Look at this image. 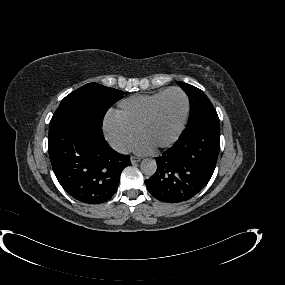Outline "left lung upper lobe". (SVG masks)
<instances>
[{
	"label": "left lung upper lobe",
	"instance_id": "obj_1",
	"mask_svg": "<svg viewBox=\"0 0 285 285\" xmlns=\"http://www.w3.org/2000/svg\"><path fill=\"white\" fill-rule=\"evenodd\" d=\"M177 84L189 96L190 114L188 124L203 114L216 111L211 101L202 90L184 82H177Z\"/></svg>",
	"mask_w": 285,
	"mask_h": 285
}]
</instances>
